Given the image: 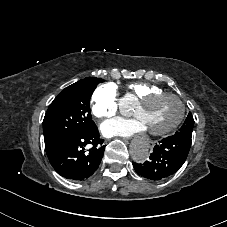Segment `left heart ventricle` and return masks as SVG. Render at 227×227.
<instances>
[{
    "mask_svg": "<svg viewBox=\"0 0 227 227\" xmlns=\"http://www.w3.org/2000/svg\"><path fill=\"white\" fill-rule=\"evenodd\" d=\"M179 114V103L173 97L163 96L148 104H138L133 115L147 131H162L170 127Z\"/></svg>",
    "mask_w": 227,
    "mask_h": 227,
    "instance_id": "left-heart-ventricle-1",
    "label": "left heart ventricle"
}]
</instances>
